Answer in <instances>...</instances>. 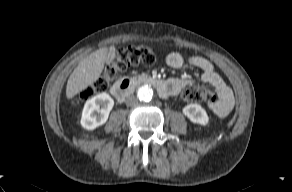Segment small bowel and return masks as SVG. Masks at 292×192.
<instances>
[{"mask_svg": "<svg viewBox=\"0 0 292 192\" xmlns=\"http://www.w3.org/2000/svg\"><path fill=\"white\" fill-rule=\"evenodd\" d=\"M115 55V50H110L107 60L111 61ZM190 65L201 70L199 81L213 86L219 95V101L211 104L209 107L218 117L227 115L233 107L234 99L231 89L226 85L221 76L215 71L213 64L201 56H191L188 59ZM166 63L173 69H181L185 65L184 57L178 52H172L166 57ZM194 81L184 78L168 79V95H176L180 91L191 85Z\"/></svg>", "mask_w": 292, "mask_h": 192, "instance_id": "small-bowel-1", "label": "small bowel"}]
</instances>
